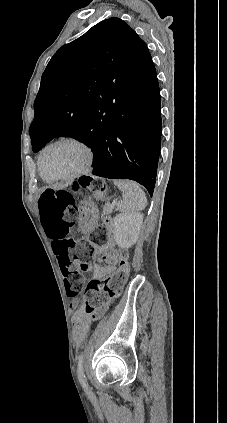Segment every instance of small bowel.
Here are the masks:
<instances>
[{"label":"small bowel","instance_id":"small-bowel-1","mask_svg":"<svg viewBox=\"0 0 227 423\" xmlns=\"http://www.w3.org/2000/svg\"><path fill=\"white\" fill-rule=\"evenodd\" d=\"M56 241L52 239V248L55 252ZM101 258L105 261V266H95L93 268V279L101 280L112 274L116 269V259L113 254L112 244L107 243L100 247ZM78 301L73 299L69 303L71 310H75ZM106 310V306L101 307L93 313L86 314L83 311L76 312L72 318L74 326V334L77 343H81L88 334L90 326L97 320Z\"/></svg>","mask_w":227,"mask_h":423}]
</instances>
